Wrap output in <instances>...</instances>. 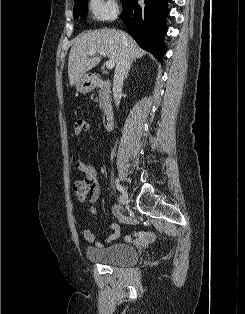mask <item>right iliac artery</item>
<instances>
[{
	"instance_id": "1",
	"label": "right iliac artery",
	"mask_w": 245,
	"mask_h": 314,
	"mask_svg": "<svg viewBox=\"0 0 245 314\" xmlns=\"http://www.w3.org/2000/svg\"><path fill=\"white\" fill-rule=\"evenodd\" d=\"M116 189H118L120 192L123 191V188L121 185H119L118 183L115 185ZM122 201V200H121Z\"/></svg>"
}]
</instances>
